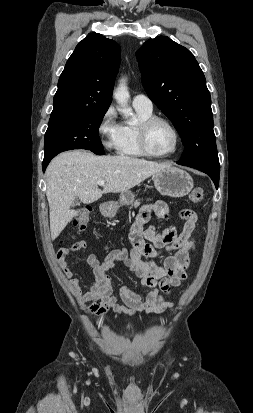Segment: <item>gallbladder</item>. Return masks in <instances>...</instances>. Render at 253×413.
Returning a JSON list of instances; mask_svg holds the SVG:
<instances>
[{
    "label": "gallbladder",
    "instance_id": "obj_1",
    "mask_svg": "<svg viewBox=\"0 0 253 413\" xmlns=\"http://www.w3.org/2000/svg\"><path fill=\"white\" fill-rule=\"evenodd\" d=\"M81 201L78 198H75L74 201L72 202V206H77L80 205Z\"/></svg>",
    "mask_w": 253,
    "mask_h": 413
}]
</instances>
